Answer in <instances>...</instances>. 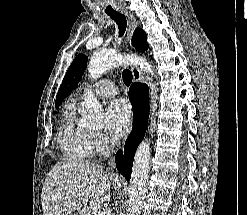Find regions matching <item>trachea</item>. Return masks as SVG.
I'll list each match as a JSON object with an SVG mask.
<instances>
[{"mask_svg": "<svg viewBox=\"0 0 247 215\" xmlns=\"http://www.w3.org/2000/svg\"><path fill=\"white\" fill-rule=\"evenodd\" d=\"M118 25L119 37H122L126 31L127 20L125 16L118 12H113L108 14ZM123 82L126 86H129L132 82V72L128 69L123 70L122 72Z\"/></svg>", "mask_w": 247, "mask_h": 215, "instance_id": "1", "label": "trachea"}]
</instances>
